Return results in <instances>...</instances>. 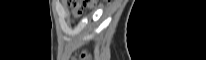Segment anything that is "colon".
<instances>
[{
    "mask_svg": "<svg viewBox=\"0 0 206 60\" xmlns=\"http://www.w3.org/2000/svg\"><path fill=\"white\" fill-rule=\"evenodd\" d=\"M89 2H92V1H72L71 3L73 4V5H80V6H86Z\"/></svg>",
    "mask_w": 206,
    "mask_h": 60,
    "instance_id": "obj_1",
    "label": "colon"
}]
</instances>
